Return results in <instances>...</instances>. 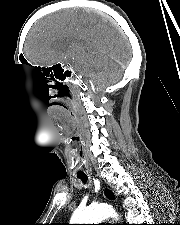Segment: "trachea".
Here are the masks:
<instances>
[{
    "mask_svg": "<svg viewBox=\"0 0 180 225\" xmlns=\"http://www.w3.org/2000/svg\"><path fill=\"white\" fill-rule=\"evenodd\" d=\"M78 177H79L83 182H86V181H87V176H86V175H78Z\"/></svg>",
    "mask_w": 180,
    "mask_h": 225,
    "instance_id": "1",
    "label": "trachea"
}]
</instances>
